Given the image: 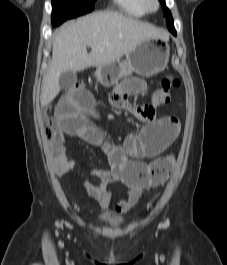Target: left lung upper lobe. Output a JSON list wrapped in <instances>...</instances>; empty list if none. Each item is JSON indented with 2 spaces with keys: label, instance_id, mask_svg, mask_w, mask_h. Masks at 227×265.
<instances>
[{
  "label": "left lung upper lobe",
  "instance_id": "5c2ea615",
  "mask_svg": "<svg viewBox=\"0 0 227 265\" xmlns=\"http://www.w3.org/2000/svg\"><path fill=\"white\" fill-rule=\"evenodd\" d=\"M163 5H164V16L166 17V24L169 30L174 29V24H173V18L171 15V12L168 10V8L165 6L164 0H159Z\"/></svg>",
  "mask_w": 227,
  "mask_h": 265
}]
</instances>
